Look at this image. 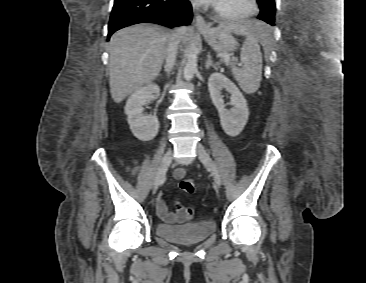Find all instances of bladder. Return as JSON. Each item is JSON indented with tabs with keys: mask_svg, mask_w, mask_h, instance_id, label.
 <instances>
[{
	"mask_svg": "<svg viewBox=\"0 0 366 283\" xmlns=\"http://www.w3.org/2000/svg\"><path fill=\"white\" fill-rule=\"evenodd\" d=\"M216 229L212 220L190 222L182 225H171L157 222L154 226L155 233L167 241L177 244H196L208 238Z\"/></svg>",
	"mask_w": 366,
	"mask_h": 283,
	"instance_id": "1",
	"label": "bladder"
}]
</instances>
